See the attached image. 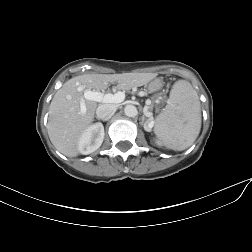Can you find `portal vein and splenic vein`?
I'll return each mask as SVG.
<instances>
[{
	"label": "portal vein and splenic vein",
	"mask_w": 252,
	"mask_h": 252,
	"mask_svg": "<svg viewBox=\"0 0 252 252\" xmlns=\"http://www.w3.org/2000/svg\"><path fill=\"white\" fill-rule=\"evenodd\" d=\"M84 87L80 86L78 88L79 91H82ZM84 99L86 100H92L96 102H102V103H120L125 99V93L124 92H117L115 94H103L98 91H91L90 89H86L84 91ZM86 112L84 100L81 102V113L84 114ZM145 112L147 111V108H145Z\"/></svg>",
	"instance_id": "portal-vein-and-splenic-vein-1"
}]
</instances>
